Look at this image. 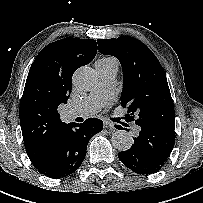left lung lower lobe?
<instances>
[{
	"instance_id": "obj_1",
	"label": "left lung lower lobe",
	"mask_w": 203,
	"mask_h": 203,
	"mask_svg": "<svg viewBox=\"0 0 203 203\" xmlns=\"http://www.w3.org/2000/svg\"><path fill=\"white\" fill-rule=\"evenodd\" d=\"M174 144L175 131L140 126L134 144L127 151L119 152L118 157L133 172L148 175L158 172L164 166Z\"/></svg>"
}]
</instances>
